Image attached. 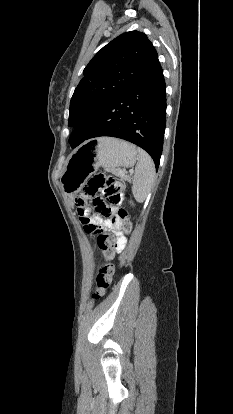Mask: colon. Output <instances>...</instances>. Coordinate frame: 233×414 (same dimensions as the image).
Returning a JSON list of instances; mask_svg holds the SVG:
<instances>
[{
  "mask_svg": "<svg viewBox=\"0 0 233 414\" xmlns=\"http://www.w3.org/2000/svg\"><path fill=\"white\" fill-rule=\"evenodd\" d=\"M122 190V182L111 175L98 173L90 178L84 187L82 194L78 195L74 201L83 216L81 217V220L85 224V228L88 232H95V227L87 224V215L84 212L87 199L92 197L93 205L96 209L110 217V207L120 203ZM117 215L122 220L124 233L129 234L132 229V223L128 211L124 208H120ZM97 242L107 262L102 264L98 269L95 278V298L102 296L112 282L114 267L110 261L113 259L118 245L117 239L110 233L100 234L97 238Z\"/></svg>",
  "mask_w": 233,
  "mask_h": 414,
  "instance_id": "1",
  "label": "colon"
}]
</instances>
